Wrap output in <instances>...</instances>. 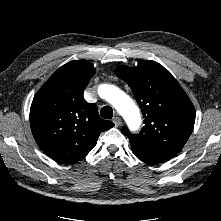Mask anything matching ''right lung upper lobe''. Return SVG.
I'll list each match as a JSON object with an SVG mask.
<instances>
[{
  "label": "right lung upper lobe",
  "instance_id": "right-lung-upper-lobe-1",
  "mask_svg": "<svg viewBox=\"0 0 221 221\" xmlns=\"http://www.w3.org/2000/svg\"><path fill=\"white\" fill-rule=\"evenodd\" d=\"M95 68L86 60L59 68L34 96L30 125L40 149L60 163H75L96 145L101 132L114 126L103 120L83 92Z\"/></svg>",
  "mask_w": 221,
  "mask_h": 221
}]
</instances>
